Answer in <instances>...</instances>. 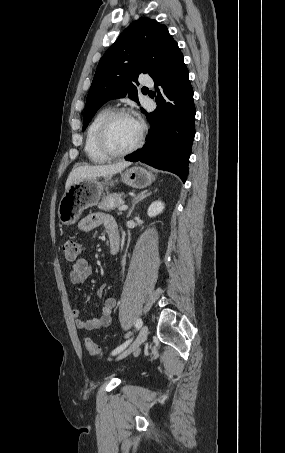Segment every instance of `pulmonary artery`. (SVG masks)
Returning <instances> with one entry per match:
<instances>
[{"label": "pulmonary artery", "instance_id": "e3ab8cb5", "mask_svg": "<svg viewBox=\"0 0 285 453\" xmlns=\"http://www.w3.org/2000/svg\"><path fill=\"white\" fill-rule=\"evenodd\" d=\"M141 82H142V84L148 85V86H151L153 84L152 80L148 77H142Z\"/></svg>", "mask_w": 285, "mask_h": 453}]
</instances>
